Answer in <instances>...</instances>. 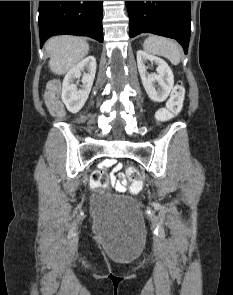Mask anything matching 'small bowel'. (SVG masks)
Masks as SVG:
<instances>
[{"label": "small bowel", "mask_w": 233, "mask_h": 295, "mask_svg": "<svg viewBox=\"0 0 233 295\" xmlns=\"http://www.w3.org/2000/svg\"><path fill=\"white\" fill-rule=\"evenodd\" d=\"M104 167H113V171L115 173L119 172L122 169V165L120 163H117V161L114 159L106 160L104 162ZM120 176H122V175H120ZM112 184L117 191H119V192L125 191V186L119 180H117L115 176L112 178Z\"/></svg>", "instance_id": "obj_1"}]
</instances>
